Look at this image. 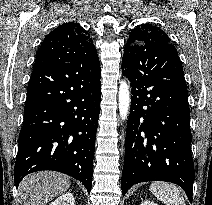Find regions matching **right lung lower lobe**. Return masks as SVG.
Segmentation results:
<instances>
[{
  "instance_id": "right-lung-lower-lobe-1",
  "label": "right lung lower lobe",
  "mask_w": 212,
  "mask_h": 205,
  "mask_svg": "<svg viewBox=\"0 0 212 205\" xmlns=\"http://www.w3.org/2000/svg\"><path fill=\"white\" fill-rule=\"evenodd\" d=\"M100 78L99 61L33 69L14 169L16 187L29 173L54 170L79 180L90 193Z\"/></svg>"
}]
</instances>
